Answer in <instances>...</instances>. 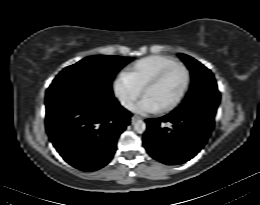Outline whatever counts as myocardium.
Listing matches in <instances>:
<instances>
[{
    "mask_svg": "<svg viewBox=\"0 0 260 205\" xmlns=\"http://www.w3.org/2000/svg\"><path fill=\"white\" fill-rule=\"evenodd\" d=\"M175 68H181L185 72V75H186L185 85H184L182 91L180 92V94L171 103L158 109L160 112L172 111L173 109L177 108L183 102V100L187 96V94L190 90L191 84H192V74H191L190 69L185 64L180 63V62L171 64V65L163 68L162 70H160L157 74H155L145 84V86L142 89V94L145 96L146 93L152 87H154L157 83H159L167 73H169L171 70H173Z\"/></svg>",
    "mask_w": 260,
    "mask_h": 205,
    "instance_id": "myocardium-1",
    "label": "myocardium"
}]
</instances>
